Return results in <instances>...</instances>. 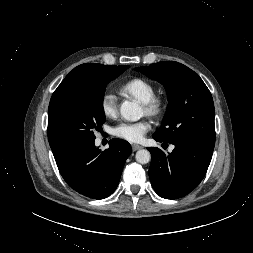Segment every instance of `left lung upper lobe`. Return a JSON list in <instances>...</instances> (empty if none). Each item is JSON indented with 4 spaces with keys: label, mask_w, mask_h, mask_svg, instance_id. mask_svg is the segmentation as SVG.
Segmentation results:
<instances>
[{
    "label": "left lung upper lobe",
    "mask_w": 253,
    "mask_h": 253,
    "mask_svg": "<svg viewBox=\"0 0 253 253\" xmlns=\"http://www.w3.org/2000/svg\"><path fill=\"white\" fill-rule=\"evenodd\" d=\"M135 70L162 83L168 95L166 115L153 136L168 143L192 140L214 147V103L197 73L175 61H162Z\"/></svg>",
    "instance_id": "obj_1"
}]
</instances>
